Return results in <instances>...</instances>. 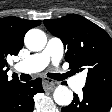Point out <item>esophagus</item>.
<instances>
[{
	"label": "esophagus",
	"instance_id": "obj_1",
	"mask_svg": "<svg viewBox=\"0 0 112 112\" xmlns=\"http://www.w3.org/2000/svg\"><path fill=\"white\" fill-rule=\"evenodd\" d=\"M59 83L51 79L43 80V87L46 91H53Z\"/></svg>",
	"mask_w": 112,
	"mask_h": 112
}]
</instances>
